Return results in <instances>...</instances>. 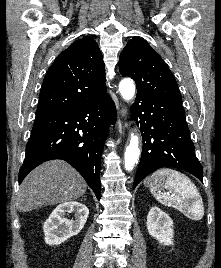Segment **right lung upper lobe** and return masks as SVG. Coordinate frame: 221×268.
<instances>
[{"instance_id": "right-lung-upper-lobe-1", "label": "right lung upper lobe", "mask_w": 221, "mask_h": 268, "mask_svg": "<svg viewBox=\"0 0 221 268\" xmlns=\"http://www.w3.org/2000/svg\"><path fill=\"white\" fill-rule=\"evenodd\" d=\"M107 95L105 64L96 41L84 37L55 59L43 80L36 115L59 113Z\"/></svg>"}]
</instances>
